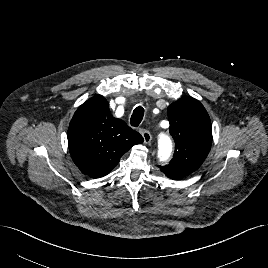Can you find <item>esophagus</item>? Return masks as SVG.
Returning <instances> with one entry per match:
<instances>
[{"label":"esophagus","mask_w":268,"mask_h":268,"mask_svg":"<svg viewBox=\"0 0 268 268\" xmlns=\"http://www.w3.org/2000/svg\"><path fill=\"white\" fill-rule=\"evenodd\" d=\"M142 137L144 139V143H146V144L150 143V141L152 139L150 132L146 129H142Z\"/></svg>","instance_id":"esophagus-1"}]
</instances>
